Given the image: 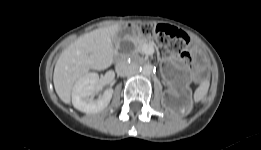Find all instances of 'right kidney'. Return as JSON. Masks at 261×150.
<instances>
[{
	"mask_svg": "<svg viewBox=\"0 0 261 150\" xmlns=\"http://www.w3.org/2000/svg\"><path fill=\"white\" fill-rule=\"evenodd\" d=\"M100 90V79L97 73H89L81 77L72 91V104L81 112L98 113L105 109L113 95V89H107L95 99Z\"/></svg>",
	"mask_w": 261,
	"mask_h": 150,
	"instance_id": "right-kidney-1",
	"label": "right kidney"
}]
</instances>
